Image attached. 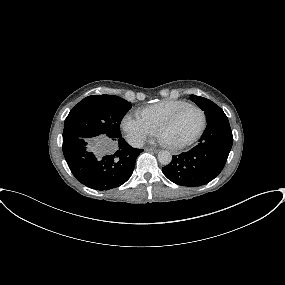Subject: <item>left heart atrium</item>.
<instances>
[{
    "mask_svg": "<svg viewBox=\"0 0 285 285\" xmlns=\"http://www.w3.org/2000/svg\"><path fill=\"white\" fill-rule=\"evenodd\" d=\"M162 141H163V142H166L163 138H162Z\"/></svg>",
    "mask_w": 285,
    "mask_h": 285,
    "instance_id": "39dd6f15",
    "label": "left heart atrium"
}]
</instances>
